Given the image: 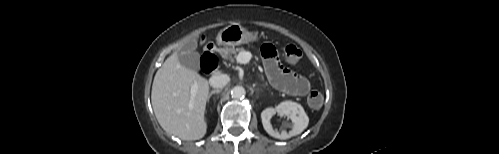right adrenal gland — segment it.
Masks as SVG:
<instances>
[{"label": "right adrenal gland", "instance_id": "2a0ac1e0", "mask_svg": "<svg viewBox=\"0 0 499 154\" xmlns=\"http://www.w3.org/2000/svg\"><path fill=\"white\" fill-rule=\"evenodd\" d=\"M220 92H221V90H220V89H214V90H212V91L208 94V97H207L208 102H209V100H210V98H211L212 94H215V93H216V94H218V93H220Z\"/></svg>", "mask_w": 499, "mask_h": 154}]
</instances>
